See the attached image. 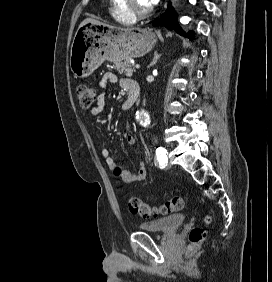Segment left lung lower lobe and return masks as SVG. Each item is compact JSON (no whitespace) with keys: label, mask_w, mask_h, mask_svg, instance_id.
<instances>
[{"label":"left lung lower lobe","mask_w":272,"mask_h":282,"mask_svg":"<svg viewBox=\"0 0 272 282\" xmlns=\"http://www.w3.org/2000/svg\"><path fill=\"white\" fill-rule=\"evenodd\" d=\"M153 25L165 26L166 28L175 30L177 33L185 37H189L191 40L193 38V32L186 34L178 25L177 15L170 4L168 5L167 10L160 16V18L153 21Z\"/></svg>","instance_id":"1"}]
</instances>
